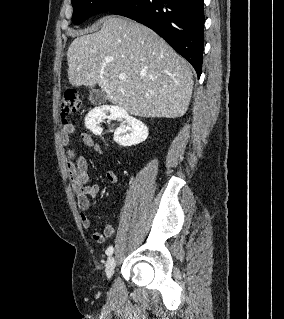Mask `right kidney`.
Returning <instances> with one entry per match:
<instances>
[{
	"mask_svg": "<svg viewBox=\"0 0 284 319\" xmlns=\"http://www.w3.org/2000/svg\"><path fill=\"white\" fill-rule=\"evenodd\" d=\"M107 113L113 117L124 119V122L114 132V141L119 145L133 146L147 139V126L120 107H97L91 110L85 118V126L94 133L99 132L101 130L99 123L106 117Z\"/></svg>",
	"mask_w": 284,
	"mask_h": 319,
	"instance_id": "right-kidney-1",
	"label": "right kidney"
}]
</instances>
